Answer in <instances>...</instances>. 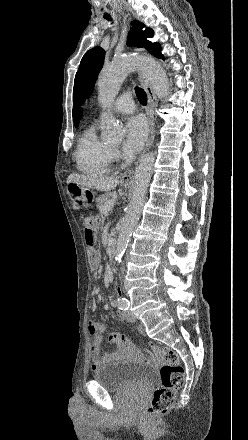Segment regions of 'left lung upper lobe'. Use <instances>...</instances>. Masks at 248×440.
<instances>
[{
	"label": "left lung upper lobe",
	"mask_w": 248,
	"mask_h": 440,
	"mask_svg": "<svg viewBox=\"0 0 248 440\" xmlns=\"http://www.w3.org/2000/svg\"><path fill=\"white\" fill-rule=\"evenodd\" d=\"M131 24L134 28L129 33L127 44L144 47L154 56L164 59L160 45L147 40L148 37L154 35L153 30L147 28L143 31L144 24L138 21H133ZM104 57L105 51L101 47L92 48L83 56L75 76L73 90L74 96H78L80 101H84L91 94L97 76L102 69Z\"/></svg>",
	"instance_id": "1"
}]
</instances>
